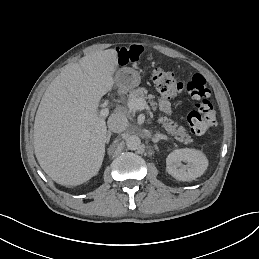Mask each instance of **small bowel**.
<instances>
[{
	"label": "small bowel",
	"instance_id": "1",
	"mask_svg": "<svg viewBox=\"0 0 259 259\" xmlns=\"http://www.w3.org/2000/svg\"><path fill=\"white\" fill-rule=\"evenodd\" d=\"M117 60L121 64H127L129 62L137 61L143 52V49L139 45H130L126 47H119L116 49ZM159 107L165 114L171 113V105L165 99L159 100Z\"/></svg>",
	"mask_w": 259,
	"mask_h": 259
}]
</instances>
